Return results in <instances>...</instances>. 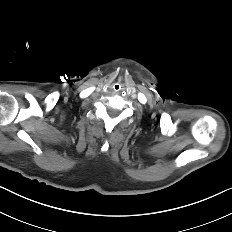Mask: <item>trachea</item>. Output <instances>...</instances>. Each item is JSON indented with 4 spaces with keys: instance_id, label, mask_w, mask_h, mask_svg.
I'll return each instance as SVG.
<instances>
[{
    "instance_id": "trachea-1",
    "label": "trachea",
    "mask_w": 232,
    "mask_h": 232,
    "mask_svg": "<svg viewBox=\"0 0 232 232\" xmlns=\"http://www.w3.org/2000/svg\"><path fill=\"white\" fill-rule=\"evenodd\" d=\"M112 89H113L115 92H120V91L122 90V84H120V83H115V84H113Z\"/></svg>"
}]
</instances>
